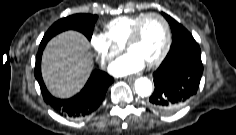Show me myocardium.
Returning <instances> with one entry per match:
<instances>
[{"label":"myocardium","mask_w":236,"mask_h":135,"mask_svg":"<svg viewBox=\"0 0 236 135\" xmlns=\"http://www.w3.org/2000/svg\"><path fill=\"white\" fill-rule=\"evenodd\" d=\"M149 17L159 18L161 20V22L163 23V26L165 29V43H164L161 53L159 54V56L156 59L146 63V65L148 67H155V66L159 65L164 60V58L168 54L170 46H171L170 26H169V23L167 22V20L161 14L156 13V12H149V13L144 14L134 25L126 42L123 45V49L127 51L129 49V47L132 46L137 41L143 22Z\"/></svg>","instance_id":"f54148a6"}]
</instances>
